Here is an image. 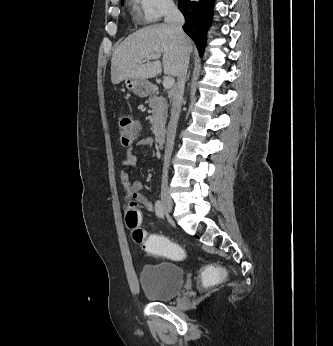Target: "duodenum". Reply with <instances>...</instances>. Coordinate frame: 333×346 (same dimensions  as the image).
Masks as SVG:
<instances>
[{"instance_id": "obj_1", "label": "duodenum", "mask_w": 333, "mask_h": 346, "mask_svg": "<svg viewBox=\"0 0 333 346\" xmlns=\"http://www.w3.org/2000/svg\"><path fill=\"white\" fill-rule=\"evenodd\" d=\"M167 131L165 128L160 127L155 131V138L158 143H164L166 140Z\"/></svg>"}]
</instances>
